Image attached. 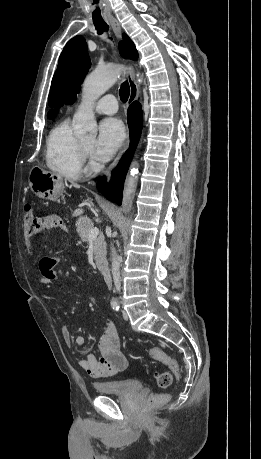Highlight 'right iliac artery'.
Masks as SVG:
<instances>
[{
	"instance_id": "right-iliac-artery-1",
	"label": "right iliac artery",
	"mask_w": 261,
	"mask_h": 459,
	"mask_svg": "<svg viewBox=\"0 0 261 459\" xmlns=\"http://www.w3.org/2000/svg\"><path fill=\"white\" fill-rule=\"evenodd\" d=\"M111 306H112L113 310L118 311L119 308H120V303H119L118 300L115 299V300H112Z\"/></svg>"
}]
</instances>
